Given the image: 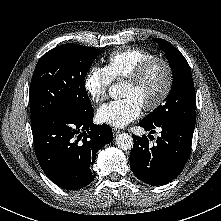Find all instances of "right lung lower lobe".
<instances>
[{
  "instance_id": "1",
  "label": "right lung lower lobe",
  "mask_w": 221,
  "mask_h": 221,
  "mask_svg": "<svg viewBox=\"0 0 221 221\" xmlns=\"http://www.w3.org/2000/svg\"><path fill=\"white\" fill-rule=\"evenodd\" d=\"M93 111L83 116L54 114L32 125L35 154L57 186L76 190L95 178L96 152L113 140L107 124L94 125Z\"/></svg>"
}]
</instances>
